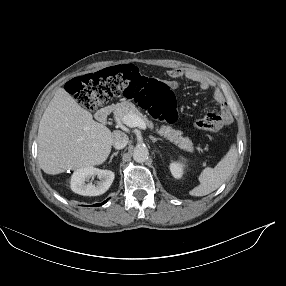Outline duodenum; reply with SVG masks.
I'll use <instances>...</instances> for the list:
<instances>
[{"mask_svg":"<svg viewBox=\"0 0 286 286\" xmlns=\"http://www.w3.org/2000/svg\"><path fill=\"white\" fill-rule=\"evenodd\" d=\"M112 111L111 107H104L101 108L97 113L96 117L102 124H107L108 116L110 115Z\"/></svg>","mask_w":286,"mask_h":286,"instance_id":"obj_1","label":"duodenum"}]
</instances>
